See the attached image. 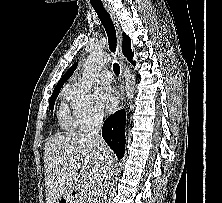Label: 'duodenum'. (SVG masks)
Here are the masks:
<instances>
[{
	"label": "duodenum",
	"mask_w": 222,
	"mask_h": 203,
	"mask_svg": "<svg viewBox=\"0 0 222 203\" xmlns=\"http://www.w3.org/2000/svg\"><path fill=\"white\" fill-rule=\"evenodd\" d=\"M79 193L76 189H72L69 193V199L72 201V200H75L77 197H78ZM63 203H65V201H63Z\"/></svg>",
	"instance_id": "1"
}]
</instances>
